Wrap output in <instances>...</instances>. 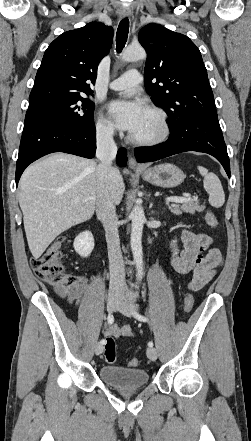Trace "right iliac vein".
<instances>
[{"label":"right iliac vein","instance_id":"obj_1","mask_svg":"<svg viewBox=\"0 0 251 441\" xmlns=\"http://www.w3.org/2000/svg\"><path fill=\"white\" fill-rule=\"evenodd\" d=\"M120 295L118 293H110L107 300V309L112 312L116 309L119 302ZM104 346L101 343H97L95 346V354L99 355L103 352Z\"/></svg>","mask_w":251,"mask_h":441}]
</instances>
